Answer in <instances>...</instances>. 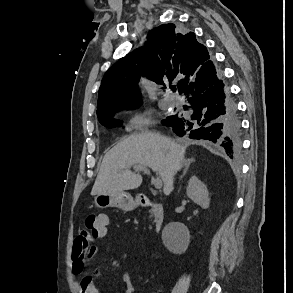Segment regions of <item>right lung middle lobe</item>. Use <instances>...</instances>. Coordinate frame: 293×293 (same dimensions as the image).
<instances>
[{
    "instance_id": "right-lung-middle-lobe-1",
    "label": "right lung middle lobe",
    "mask_w": 293,
    "mask_h": 293,
    "mask_svg": "<svg viewBox=\"0 0 293 293\" xmlns=\"http://www.w3.org/2000/svg\"><path fill=\"white\" fill-rule=\"evenodd\" d=\"M115 112H109L101 117H98L100 123L106 127L112 128L122 125V122L119 120L113 119V115Z\"/></svg>"
}]
</instances>
